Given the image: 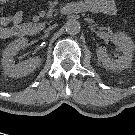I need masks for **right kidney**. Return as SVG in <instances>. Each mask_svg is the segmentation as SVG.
I'll return each instance as SVG.
<instances>
[{"instance_id":"1","label":"right kidney","mask_w":135,"mask_h":135,"mask_svg":"<svg viewBox=\"0 0 135 135\" xmlns=\"http://www.w3.org/2000/svg\"><path fill=\"white\" fill-rule=\"evenodd\" d=\"M28 46V40L26 38H19L10 43L2 55V67L4 73L8 77H24L32 73L41 63V58L36 56L29 58L27 61L15 64L14 56L20 49H24Z\"/></svg>"}]
</instances>
